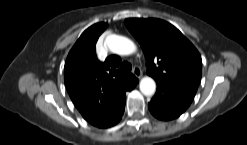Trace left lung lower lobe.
<instances>
[{"label":"left lung lower lobe","instance_id":"left-lung-lower-lobe-1","mask_svg":"<svg viewBox=\"0 0 247 145\" xmlns=\"http://www.w3.org/2000/svg\"><path fill=\"white\" fill-rule=\"evenodd\" d=\"M193 96L182 93L166 84L157 83L155 96L148 104L152 115L160 120H172L189 107Z\"/></svg>","mask_w":247,"mask_h":145}]
</instances>
